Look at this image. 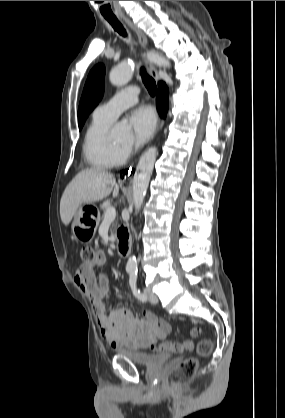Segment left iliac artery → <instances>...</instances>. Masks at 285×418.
Here are the masks:
<instances>
[{
  "instance_id": "left-iliac-artery-1",
  "label": "left iliac artery",
  "mask_w": 285,
  "mask_h": 418,
  "mask_svg": "<svg viewBox=\"0 0 285 418\" xmlns=\"http://www.w3.org/2000/svg\"><path fill=\"white\" fill-rule=\"evenodd\" d=\"M129 284L133 291V294L140 301L145 302L147 300L146 296L142 292H140V290L137 288V270L130 272Z\"/></svg>"
}]
</instances>
